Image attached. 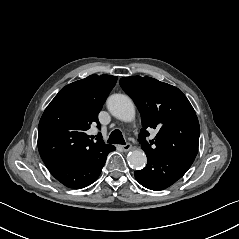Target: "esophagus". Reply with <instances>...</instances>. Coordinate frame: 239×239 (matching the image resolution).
<instances>
[{
    "label": "esophagus",
    "mask_w": 239,
    "mask_h": 239,
    "mask_svg": "<svg viewBox=\"0 0 239 239\" xmlns=\"http://www.w3.org/2000/svg\"><path fill=\"white\" fill-rule=\"evenodd\" d=\"M132 148V145L130 143H126L125 145H122L123 151L127 152Z\"/></svg>",
    "instance_id": "34e87169"
}]
</instances>
